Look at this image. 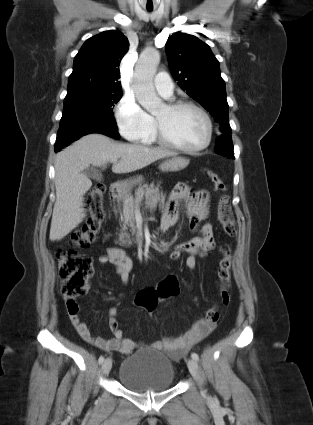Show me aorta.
I'll use <instances>...</instances> for the list:
<instances>
[{"label": "aorta", "mask_w": 313, "mask_h": 425, "mask_svg": "<svg viewBox=\"0 0 313 425\" xmlns=\"http://www.w3.org/2000/svg\"><path fill=\"white\" fill-rule=\"evenodd\" d=\"M159 62V52L149 48L141 53L134 70L133 90L136 99L150 113H154L162 104L153 84Z\"/></svg>", "instance_id": "aorta-1"}]
</instances>
